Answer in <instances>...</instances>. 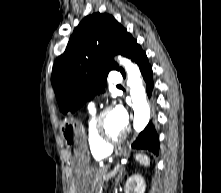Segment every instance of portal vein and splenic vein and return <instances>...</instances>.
<instances>
[{"instance_id":"portal-vein-and-splenic-vein-1","label":"portal vein and splenic vein","mask_w":221,"mask_h":193,"mask_svg":"<svg viewBox=\"0 0 221 193\" xmlns=\"http://www.w3.org/2000/svg\"><path fill=\"white\" fill-rule=\"evenodd\" d=\"M118 168H119V165H117L113 171L107 173L105 176H104V180L105 181H108L109 179H111L115 174L116 172L118 171Z\"/></svg>"}]
</instances>
